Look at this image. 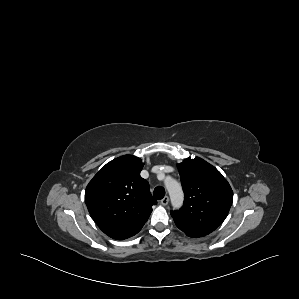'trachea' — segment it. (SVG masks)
Listing matches in <instances>:
<instances>
[{
  "mask_svg": "<svg viewBox=\"0 0 299 299\" xmlns=\"http://www.w3.org/2000/svg\"><path fill=\"white\" fill-rule=\"evenodd\" d=\"M153 194H154L155 199L161 200L165 196V189L163 187H161V186H157L154 189Z\"/></svg>",
  "mask_w": 299,
  "mask_h": 299,
  "instance_id": "obj_1",
  "label": "trachea"
}]
</instances>
